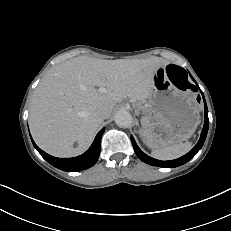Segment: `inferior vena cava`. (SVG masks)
Masks as SVG:
<instances>
[{"label":"inferior vena cava","instance_id":"inferior-vena-cava-1","mask_svg":"<svg viewBox=\"0 0 231 231\" xmlns=\"http://www.w3.org/2000/svg\"><path fill=\"white\" fill-rule=\"evenodd\" d=\"M98 116L102 119H107L110 116V112L107 109H101L98 111Z\"/></svg>","mask_w":231,"mask_h":231}]
</instances>
